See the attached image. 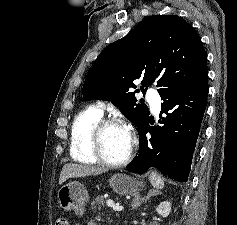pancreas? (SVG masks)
<instances>
[{"instance_id": "obj_1", "label": "pancreas", "mask_w": 237, "mask_h": 225, "mask_svg": "<svg viewBox=\"0 0 237 225\" xmlns=\"http://www.w3.org/2000/svg\"><path fill=\"white\" fill-rule=\"evenodd\" d=\"M104 202V198L101 195L96 196V198L93 200V202L91 203V208L93 210H96V208L98 207L99 209L101 208V206L103 205Z\"/></svg>"}]
</instances>
